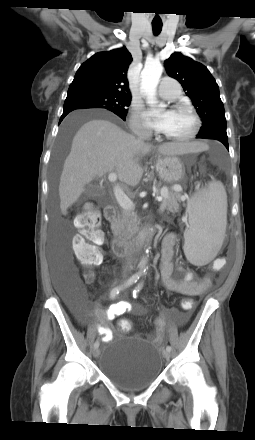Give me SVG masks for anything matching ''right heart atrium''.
<instances>
[{"label": "right heart atrium", "mask_w": 255, "mask_h": 440, "mask_svg": "<svg viewBox=\"0 0 255 440\" xmlns=\"http://www.w3.org/2000/svg\"><path fill=\"white\" fill-rule=\"evenodd\" d=\"M129 126L133 133L136 134L149 133V127L141 112V106L137 103H134L132 106V111L129 119Z\"/></svg>", "instance_id": "d8ad5b80"}]
</instances>
